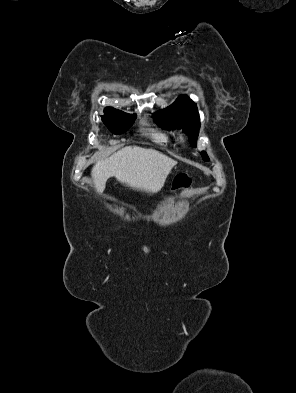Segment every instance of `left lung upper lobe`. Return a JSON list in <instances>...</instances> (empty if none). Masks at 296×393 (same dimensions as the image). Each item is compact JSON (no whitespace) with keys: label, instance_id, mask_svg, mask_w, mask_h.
I'll return each instance as SVG.
<instances>
[{"label":"left lung upper lobe","instance_id":"5c2ea615","mask_svg":"<svg viewBox=\"0 0 296 393\" xmlns=\"http://www.w3.org/2000/svg\"><path fill=\"white\" fill-rule=\"evenodd\" d=\"M153 117L164 129H182L189 136L191 145H196L200 118L196 104L186 95L180 96L172 105L156 112ZM201 155L205 161L209 160L205 152H202Z\"/></svg>","mask_w":296,"mask_h":393}]
</instances>
